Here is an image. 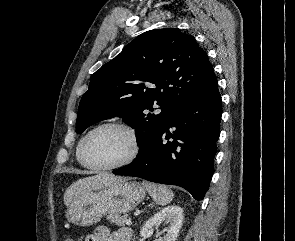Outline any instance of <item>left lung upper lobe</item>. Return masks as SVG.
Wrapping results in <instances>:
<instances>
[{"label":"left lung upper lobe","mask_w":295,"mask_h":241,"mask_svg":"<svg viewBox=\"0 0 295 241\" xmlns=\"http://www.w3.org/2000/svg\"><path fill=\"white\" fill-rule=\"evenodd\" d=\"M215 80L194 37L177 28L144 32L92 75L79 104L76 132L122 117L135 129L140 153L178 107ZM156 106L161 112H154Z\"/></svg>","instance_id":"obj_1"}]
</instances>
